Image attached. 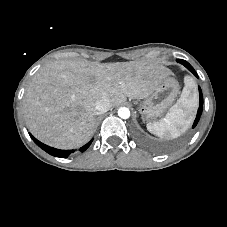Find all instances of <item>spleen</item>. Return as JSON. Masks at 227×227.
Masks as SVG:
<instances>
[{
  "instance_id": "obj_1",
  "label": "spleen",
  "mask_w": 227,
  "mask_h": 227,
  "mask_svg": "<svg viewBox=\"0 0 227 227\" xmlns=\"http://www.w3.org/2000/svg\"><path fill=\"white\" fill-rule=\"evenodd\" d=\"M193 81L186 78L185 87L177 103L160 121L149 122L147 130L167 140L179 137L190 125L194 110L197 106V99L190 95V88Z\"/></svg>"
}]
</instances>
